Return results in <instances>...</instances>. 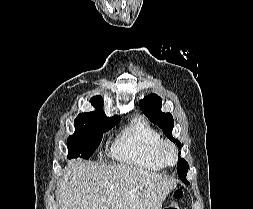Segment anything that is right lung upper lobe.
<instances>
[{"label": "right lung upper lobe", "instance_id": "obj_1", "mask_svg": "<svg viewBox=\"0 0 253 209\" xmlns=\"http://www.w3.org/2000/svg\"><path fill=\"white\" fill-rule=\"evenodd\" d=\"M91 103L96 108V111L89 112V113H80L75 120L90 117V116H96V117H100V118L107 119V120H113V119L119 118L118 115H115L114 117H106L104 111L102 110V107H103L102 97H100V96L93 97L91 99Z\"/></svg>", "mask_w": 253, "mask_h": 209}]
</instances>
